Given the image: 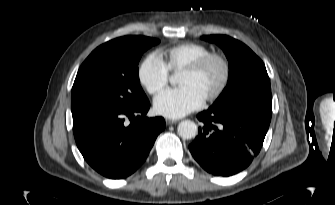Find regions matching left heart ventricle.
Here are the masks:
<instances>
[{
    "instance_id": "left-heart-ventricle-1",
    "label": "left heart ventricle",
    "mask_w": 335,
    "mask_h": 205,
    "mask_svg": "<svg viewBox=\"0 0 335 205\" xmlns=\"http://www.w3.org/2000/svg\"><path fill=\"white\" fill-rule=\"evenodd\" d=\"M223 69L218 61L210 62L199 74H180L178 84L180 87H190L196 90L203 98L213 93L218 87Z\"/></svg>"
}]
</instances>
